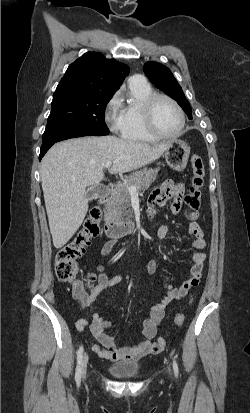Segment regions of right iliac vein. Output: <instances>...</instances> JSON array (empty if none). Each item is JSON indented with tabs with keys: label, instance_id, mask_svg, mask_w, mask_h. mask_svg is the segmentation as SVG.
Returning <instances> with one entry per match:
<instances>
[{
	"label": "right iliac vein",
	"instance_id": "1",
	"mask_svg": "<svg viewBox=\"0 0 250 413\" xmlns=\"http://www.w3.org/2000/svg\"><path fill=\"white\" fill-rule=\"evenodd\" d=\"M87 361H88V356L85 354L82 358L81 362V374L83 377L86 375V370H87Z\"/></svg>",
	"mask_w": 250,
	"mask_h": 413
}]
</instances>
